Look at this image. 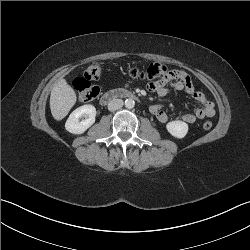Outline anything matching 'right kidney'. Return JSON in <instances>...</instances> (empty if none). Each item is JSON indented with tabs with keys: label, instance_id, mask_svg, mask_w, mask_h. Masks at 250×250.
I'll use <instances>...</instances> for the list:
<instances>
[{
	"label": "right kidney",
	"instance_id": "ca27d5eb",
	"mask_svg": "<svg viewBox=\"0 0 250 250\" xmlns=\"http://www.w3.org/2000/svg\"><path fill=\"white\" fill-rule=\"evenodd\" d=\"M85 116L86 119L80 121ZM96 108L93 105H83L75 109L67 119L65 128L72 134H82L95 122Z\"/></svg>",
	"mask_w": 250,
	"mask_h": 250
}]
</instances>
